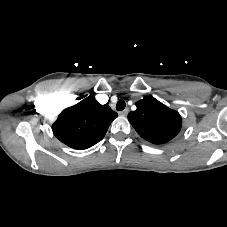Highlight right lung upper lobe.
Instances as JSON below:
<instances>
[{
	"label": "right lung upper lobe",
	"mask_w": 227,
	"mask_h": 227,
	"mask_svg": "<svg viewBox=\"0 0 227 227\" xmlns=\"http://www.w3.org/2000/svg\"><path fill=\"white\" fill-rule=\"evenodd\" d=\"M117 116L108 104L101 105L89 96L64 109L52 125V130L67 146L83 150L101 141Z\"/></svg>",
	"instance_id": "cb5924a9"
}]
</instances>
